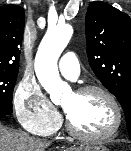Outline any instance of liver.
Instances as JSON below:
<instances>
[{
    "label": "liver",
    "instance_id": "6515ba94",
    "mask_svg": "<svg viewBox=\"0 0 131 151\" xmlns=\"http://www.w3.org/2000/svg\"><path fill=\"white\" fill-rule=\"evenodd\" d=\"M48 146L49 142L33 138L25 132L6 128L0 123V151H45ZM71 150L79 151L81 148Z\"/></svg>",
    "mask_w": 131,
    "mask_h": 151
}]
</instances>
